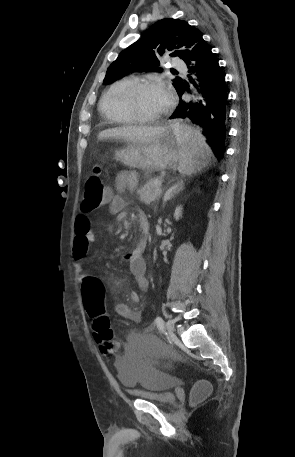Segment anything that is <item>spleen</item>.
I'll list each match as a JSON object with an SVG mask.
<instances>
[{
	"label": "spleen",
	"mask_w": 295,
	"mask_h": 457,
	"mask_svg": "<svg viewBox=\"0 0 295 457\" xmlns=\"http://www.w3.org/2000/svg\"><path fill=\"white\" fill-rule=\"evenodd\" d=\"M173 128L180 155L177 169L183 175H191L205 166L204 161L210 158L211 150L199 131L179 124H174Z\"/></svg>",
	"instance_id": "3e777b00"
}]
</instances>
